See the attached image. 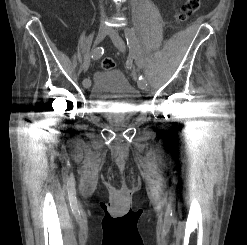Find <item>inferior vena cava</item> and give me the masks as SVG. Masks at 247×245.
Segmentation results:
<instances>
[{
    "mask_svg": "<svg viewBox=\"0 0 247 245\" xmlns=\"http://www.w3.org/2000/svg\"><path fill=\"white\" fill-rule=\"evenodd\" d=\"M100 10H101V21L103 22L105 19V13H104V8L102 5H100Z\"/></svg>",
    "mask_w": 247,
    "mask_h": 245,
    "instance_id": "obj_1",
    "label": "inferior vena cava"
}]
</instances>
